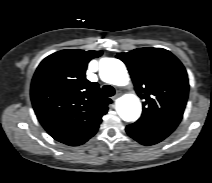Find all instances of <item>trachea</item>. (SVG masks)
<instances>
[{"instance_id":"obj_1","label":"trachea","mask_w":212,"mask_h":183,"mask_svg":"<svg viewBox=\"0 0 212 183\" xmlns=\"http://www.w3.org/2000/svg\"><path fill=\"white\" fill-rule=\"evenodd\" d=\"M104 94L108 97H111L115 94V89L110 85H104L102 87Z\"/></svg>"}]
</instances>
